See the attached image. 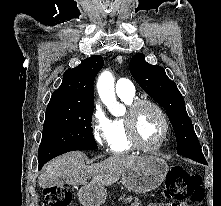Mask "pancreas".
<instances>
[{
    "instance_id": "cf45deb5",
    "label": "pancreas",
    "mask_w": 221,
    "mask_h": 206,
    "mask_svg": "<svg viewBox=\"0 0 221 206\" xmlns=\"http://www.w3.org/2000/svg\"><path fill=\"white\" fill-rule=\"evenodd\" d=\"M121 199H124V196ZM131 200H132L131 196L129 198L124 199L125 202H130ZM138 204H139L138 202H135V203L132 204V206H138Z\"/></svg>"
}]
</instances>
